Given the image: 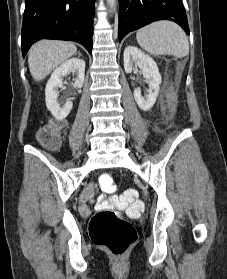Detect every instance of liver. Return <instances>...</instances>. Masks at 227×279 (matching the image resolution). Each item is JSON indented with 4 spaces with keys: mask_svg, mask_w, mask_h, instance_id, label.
I'll return each instance as SVG.
<instances>
[{
    "mask_svg": "<svg viewBox=\"0 0 227 279\" xmlns=\"http://www.w3.org/2000/svg\"><path fill=\"white\" fill-rule=\"evenodd\" d=\"M77 47L67 41L42 40L28 54L29 70L35 81L46 78L60 63L75 55Z\"/></svg>",
    "mask_w": 227,
    "mask_h": 279,
    "instance_id": "1",
    "label": "liver"
}]
</instances>
